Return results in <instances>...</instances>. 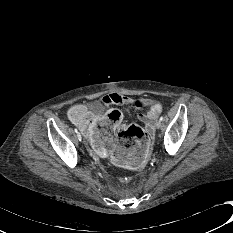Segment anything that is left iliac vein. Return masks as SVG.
I'll use <instances>...</instances> for the list:
<instances>
[{
  "label": "left iliac vein",
  "mask_w": 233,
  "mask_h": 233,
  "mask_svg": "<svg viewBox=\"0 0 233 233\" xmlns=\"http://www.w3.org/2000/svg\"><path fill=\"white\" fill-rule=\"evenodd\" d=\"M155 127L156 129H160L162 127V121L158 120L156 123H155Z\"/></svg>",
  "instance_id": "4c4485c4"
}]
</instances>
